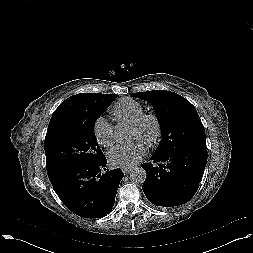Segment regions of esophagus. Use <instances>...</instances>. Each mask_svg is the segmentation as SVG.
Listing matches in <instances>:
<instances>
[{
	"instance_id": "obj_1",
	"label": "esophagus",
	"mask_w": 253,
	"mask_h": 253,
	"mask_svg": "<svg viewBox=\"0 0 253 253\" xmlns=\"http://www.w3.org/2000/svg\"><path fill=\"white\" fill-rule=\"evenodd\" d=\"M122 171L124 173H129L130 171H132V167L128 166V167H122Z\"/></svg>"
}]
</instances>
